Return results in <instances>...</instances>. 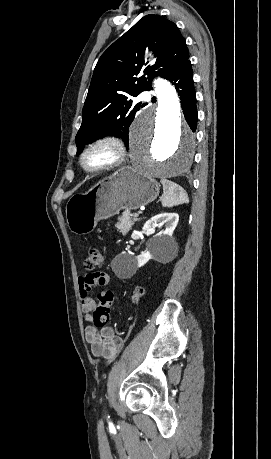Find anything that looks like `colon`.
<instances>
[{
    "label": "colon",
    "instance_id": "obj_1",
    "mask_svg": "<svg viewBox=\"0 0 271 459\" xmlns=\"http://www.w3.org/2000/svg\"><path fill=\"white\" fill-rule=\"evenodd\" d=\"M103 263V255L99 248L92 247L88 250L87 258L85 259L84 266L87 270H94L100 267ZM142 289L137 288L133 294V300L136 301L142 295ZM114 301L113 292L105 290L97 295V304L92 314V322L94 326L101 328L109 320V314Z\"/></svg>",
    "mask_w": 271,
    "mask_h": 459
}]
</instances>
